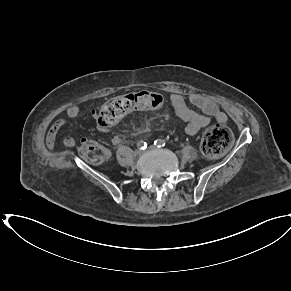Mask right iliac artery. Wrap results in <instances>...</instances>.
I'll return each instance as SVG.
<instances>
[{
    "label": "right iliac artery",
    "mask_w": 291,
    "mask_h": 291,
    "mask_svg": "<svg viewBox=\"0 0 291 291\" xmlns=\"http://www.w3.org/2000/svg\"><path fill=\"white\" fill-rule=\"evenodd\" d=\"M137 147H138L140 150H144V149L147 148V143L144 142V141H139V142L137 143Z\"/></svg>",
    "instance_id": "obj_1"
}]
</instances>
